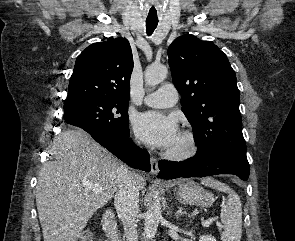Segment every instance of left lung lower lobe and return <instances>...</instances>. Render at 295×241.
<instances>
[{"label":"left lung lower lobe","instance_id":"1","mask_svg":"<svg viewBox=\"0 0 295 241\" xmlns=\"http://www.w3.org/2000/svg\"><path fill=\"white\" fill-rule=\"evenodd\" d=\"M158 177L174 179L179 177H203L218 174H236L242 180L249 177L247 158L225 152H213L181 161L160 160Z\"/></svg>","mask_w":295,"mask_h":241}]
</instances>
